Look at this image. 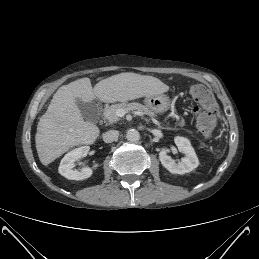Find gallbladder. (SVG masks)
<instances>
[{"mask_svg":"<svg viewBox=\"0 0 259 259\" xmlns=\"http://www.w3.org/2000/svg\"><path fill=\"white\" fill-rule=\"evenodd\" d=\"M76 104L82 116L91 122H94L98 117V105L95 101L84 102L81 99H76Z\"/></svg>","mask_w":259,"mask_h":259,"instance_id":"bac80fb5","label":"gallbladder"}]
</instances>
